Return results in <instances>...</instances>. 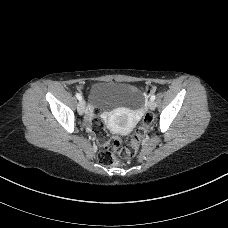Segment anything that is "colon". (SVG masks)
I'll return each mask as SVG.
<instances>
[{"label":"colon","mask_w":228,"mask_h":228,"mask_svg":"<svg viewBox=\"0 0 228 228\" xmlns=\"http://www.w3.org/2000/svg\"><path fill=\"white\" fill-rule=\"evenodd\" d=\"M151 87H147V91L150 92ZM89 115L92 119L91 128L102 138L104 135V124L100 120V111L96 108H91ZM152 118L147 115L144 118L142 125L137 129L136 133L129 140L128 144L122 145L118 140H113L108 143L98 155V159L103 165H112L116 162L115 155L117 154L122 159H131L136 156L140 141L144 136L147 128L151 125ZM104 140V139H101Z\"/></svg>","instance_id":"obj_1"}]
</instances>
